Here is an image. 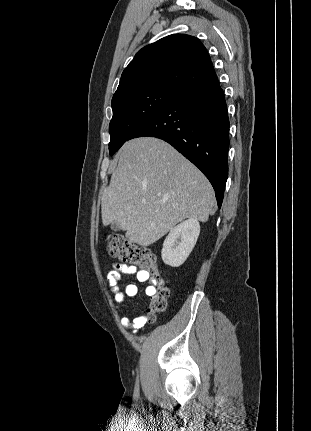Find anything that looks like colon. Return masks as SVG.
Wrapping results in <instances>:
<instances>
[{"label": "colon", "mask_w": 311, "mask_h": 431, "mask_svg": "<svg viewBox=\"0 0 311 431\" xmlns=\"http://www.w3.org/2000/svg\"><path fill=\"white\" fill-rule=\"evenodd\" d=\"M107 251L112 257L137 265L153 277L154 293L147 307L146 318L150 322L154 321L166 309L169 296V289L160 275L154 253L151 249L139 246L120 235L108 238Z\"/></svg>", "instance_id": "colon-1"}]
</instances>
